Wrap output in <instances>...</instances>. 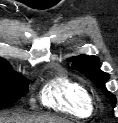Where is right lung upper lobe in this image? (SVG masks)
<instances>
[{
	"instance_id": "1",
	"label": "right lung upper lobe",
	"mask_w": 118,
	"mask_h": 123,
	"mask_svg": "<svg viewBox=\"0 0 118 123\" xmlns=\"http://www.w3.org/2000/svg\"><path fill=\"white\" fill-rule=\"evenodd\" d=\"M0 64H7L8 65V63L3 59H0Z\"/></svg>"
}]
</instances>
